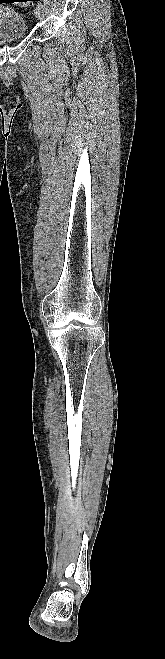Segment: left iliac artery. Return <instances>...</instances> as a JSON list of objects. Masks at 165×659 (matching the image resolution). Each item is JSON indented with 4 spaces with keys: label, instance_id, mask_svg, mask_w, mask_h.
<instances>
[{
    "label": "left iliac artery",
    "instance_id": "44dca946",
    "mask_svg": "<svg viewBox=\"0 0 165 659\" xmlns=\"http://www.w3.org/2000/svg\"><path fill=\"white\" fill-rule=\"evenodd\" d=\"M38 6L44 9V5L42 3H38Z\"/></svg>",
    "mask_w": 165,
    "mask_h": 659
}]
</instances>
